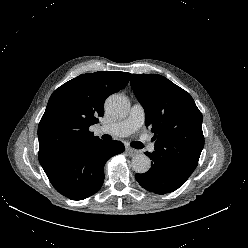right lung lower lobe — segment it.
<instances>
[{
	"instance_id": "98d812e1",
	"label": "right lung lower lobe",
	"mask_w": 248,
	"mask_h": 248,
	"mask_svg": "<svg viewBox=\"0 0 248 248\" xmlns=\"http://www.w3.org/2000/svg\"><path fill=\"white\" fill-rule=\"evenodd\" d=\"M124 149L120 141L98 139L79 143L44 171L59 193L71 200H82L101 188L105 163Z\"/></svg>"
}]
</instances>
